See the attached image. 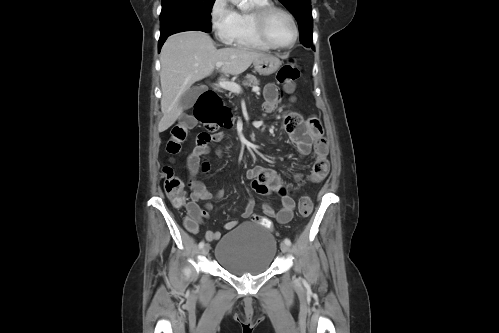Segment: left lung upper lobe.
Returning <instances> with one entry per match:
<instances>
[{"label": "left lung upper lobe", "mask_w": 499, "mask_h": 333, "mask_svg": "<svg viewBox=\"0 0 499 333\" xmlns=\"http://www.w3.org/2000/svg\"><path fill=\"white\" fill-rule=\"evenodd\" d=\"M295 17L301 43L313 44V18L311 0H279Z\"/></svg>", "instance_id": "obj_1"}]
</instances>
